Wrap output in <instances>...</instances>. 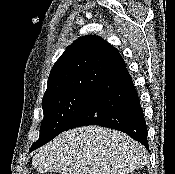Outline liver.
<instances>
[{"mask_svg":"<svg viewBox=\"0 0 175 174\" xmlns=\"http://www.w3.org/2000/svg\"><path fill=\"white\" fill-rule=\"evenodd\" d=\"M147 150L120 131L84 126L61 133L32 159L40 173L128 174L147 164Z\"/></svg>","mask_w":175,"mask_h":174,"instance_id":"6515ba94","label":"liver"}]
</instances>
